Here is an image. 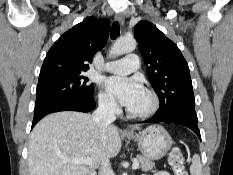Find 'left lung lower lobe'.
<instances>
[{
	"label": "left lung lower lobe",
	"instance_id": "left-lung-lower-lobe-1",
	"mask_svg": "<svg viewBox=\"0 0 233 175\" xmlns=\"http://www.w3.org/2000/svg\"><path fill=\"white\" fill-rule=\"evenodd\" d=\"M147 123L171 122L190 128L201 139L200 131L197 126L198 118L193 108H181L164 114H155L152 118L146 120Z\"/></svg>",
	"mask_w": 233,
	"mask_h": 175
}]
</instances>
